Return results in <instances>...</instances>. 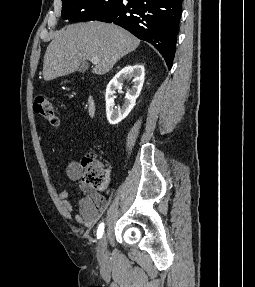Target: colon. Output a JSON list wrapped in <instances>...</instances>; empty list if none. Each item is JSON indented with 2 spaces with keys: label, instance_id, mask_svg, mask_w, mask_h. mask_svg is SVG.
<instances>
[{
  "label": "colon",
  "instance_id": "5ec220e1",
  "mask_svg": "<svg viewBox=\"0 0 255 287\" xmlns=\"http://www.w3.org/2000/svg\"><path fill=\"white\" fill-rule=\"evenodd\" d=\"M34 111L52 126L59 124L53 103L46 97H37L33 104ZM84 182L92 190L104 191L109 184L110 173L103 160L95 154H88L82 160Z\"/></svg>",
  "mask_w": 255,
  "mask_h": 287
}]
</instances>
